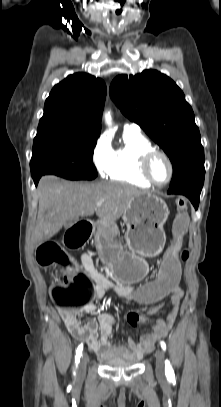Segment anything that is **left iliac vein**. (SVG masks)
I'll use <instances>...</instances> for the list:
<instances>
[{"label": "left iliac vein", "instance_id": "left-iliac-vein-1", "mask_svg": "<svg viewBox=\"0 0 221 407\" xmlns=\"http://www.w3.org/2000/svg\"><path fill=\"white\" fill-rule=\"evenodd\" d=\"M156 375L159 378L164 376V353L161 349L156 350Z\"/></svg>", "mask_w": 221, "mask_h": 407}]
</instances>
